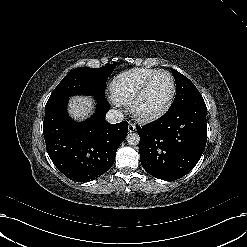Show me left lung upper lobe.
I'll list each match as a JSON object with an SVG mask.
<instances>
[{
  "mask_svg": "<svg viewBox=\"0 0 247 247\" xmlns=\"http://www.w3.org/2000/svg\"><path fill=\"white\" fill-rule=\"evenodd\" d=\"M175 77L177 91L175 99L170 108L178 107L196 96H201L195 85L184 75L172 69Z\"/></svg>",
  "mask_w": 247,
  "mask_h": 247,
  "instance_id": "left-lung-upper-lobe-1",
  "label": "left lung upper lobe"
}]
</instances>
